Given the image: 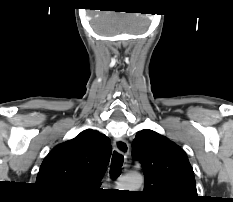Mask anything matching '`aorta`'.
Returning a JSON list of instances; mask_svg holds the SVG:
<instances>
[{
  "mask_svg": "<svg viewBox=\"0 0 233 202\" xmlns=\"http://www.w3.org/2000/svg\"><path fill=\"white\" fill-rule=\"evenodd\" d=\"M143 183V178L139 174H132V175H127L124 176L120 180V188L121 190H130V191H136L141 187Z\"/></svg>",
  "mask_w": 233,
  "mask_h": 202,
  "instance_id": "obj_1",
  "label": "aorta"
}]
</instances>
